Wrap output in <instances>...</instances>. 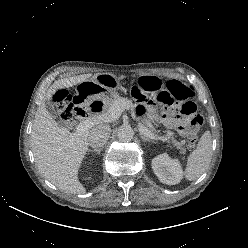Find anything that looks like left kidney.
<instances>
[{"label": "left kidney", "instance_id": "obj_1", "mask_svg": "<svg viewBox=\"0 0 248 248\" xmlns=\"http://www.w3.org/2000/svg\"><path fill=\"white\" fill-rule=\"evenodd\" d=\"M158 179L167 185L178 184L183 178V171L178 159H172L167 154L156 156L151 163Z\"/></svg>", "mask_w": 248, "mask_h": 248}]
</instances>
